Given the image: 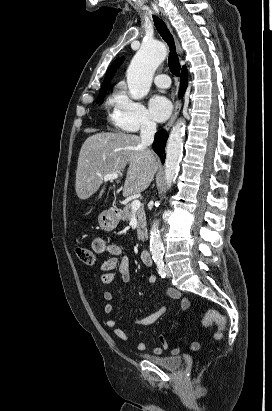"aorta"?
Returning a JSON list of instances; mask_svg holds the SVG:
<instances>
[{"label":"aorta","mask_w":272,"mask_h":411,"mask_svg":"<svg viewBox=\"0 0 272 411\" xmlns=\"http://www.w3.org/2000/svg\"><path fill=\"white\" fill-rule=\"evenodd\" d=\"M165 57L166 48L161 42L145 43L137 51L126 73L129 93L133 99L140 100L148 94L155 70ZM184 133V120H179L173 126L166 146L165 181L167 189L172 186L179 171ZM163 251L159 226L155 221L150 231V252L153 260L162 261Z\"/></svg>","instance_id":"1"}]
</instances>
